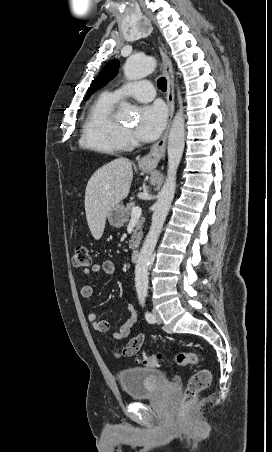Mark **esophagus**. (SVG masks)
I'll list each match as a JSON object with an SVG mask.
<instances>
[{"label": "esophagus", "instance_id": "esophagus-1", "mask_svg": "<svg viewBox=\"0 0 272 452\" xmlns=\"http://www.w3.org/2000/svg\"><path fill=\"white\" fill-rule=\"evenodd\" d=\"M160 54L162 57L163 73L167 79V104L169 108L168 122L161 138L155 144L152 145L150 152L139 160L138 164L140 167L143 168H155L158 165L161 158L164 156L166 150L168 131L170 128L175 108L174 75L172 62L163 48H160Z\"/></svg>", "mask_w": 272, "mask_h": 452}]
</instances>
